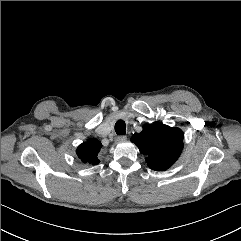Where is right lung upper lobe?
<instances>
[{"label":"right lung upper lobe","instance_id":"right-lung-upper-lobe-1","mask_svg":"<svg viewBox=\"0 0 241 241\" xmlns=\"http://www.w3.org/2000/svg\"><path fill=\"white\" fill-rule=\"evenodd\" d=\"M102 144L96 139H90L87 142L82 143L76 150L78 157L84 163H90L92 165L98 164L100 161L97 158Z\"/></svg>","mask_w":241,"mask_h":241}]
</instances>
